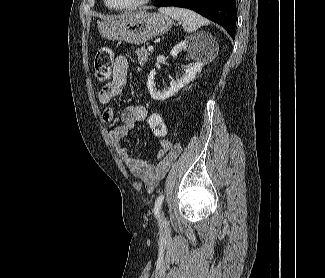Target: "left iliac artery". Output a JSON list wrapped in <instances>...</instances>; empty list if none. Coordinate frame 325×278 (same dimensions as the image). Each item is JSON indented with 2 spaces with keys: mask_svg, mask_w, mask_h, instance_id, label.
<instances>
[{
  "mask_svg": "<svg viewBox=\"0 0 325 278\" xmlns=\"http://www.w3.org/2000/svg\"><path fill=\"white\" fill-rule=\"evenodd\" d=\"M163 199H164V195H160L156 201H155V205H154V213H155V216L158 217L159 216V210L161 208V205H162V202H163Z\"/></svg>",
  "mask_w": 325,
  "mask_h": 278,
  "instance_id": "1",
  "label": "left iliac artery"
}]
</instances>
